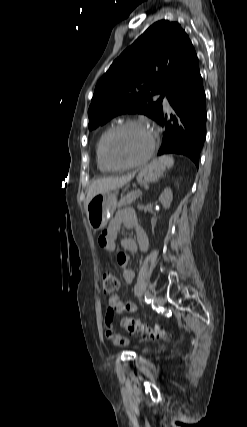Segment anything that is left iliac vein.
<instances>
[{
  "label": "left iliac vein",
  "instance_id": "4c4485c4",
  "mask_svg": "<svg viewBox=\"0 0 247 427\" xmlns=\"http://www.w3.org/2000/svg\"><path fill=\"white\" fill-rule=\"evenodd\" d=\"M155 301H156V303H157L159 306H162V305L164 304V299H163V297H162V296H157V297L155 298Z\"/></svg>",
  "mask_w": 247,
  "mask_h": 427
}]
</instances>
